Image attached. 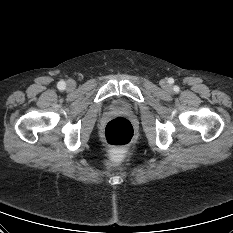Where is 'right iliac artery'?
I'll use <instances>...</instances> for the list:
<instances>
[{
	"instance_id": "right-iliac-artery-1",
	"label": "right iliac artery",
	"mask_w": 233,
	"mask_h": 233,
	"mask_svg": "<svg viewBox=\"0 0 233 233\" xmlns=\"http://www.w3.org/2000/svg\"><path fill=\"white\" fill-rule=\"evenodd\" d=\"M57 86L60 90H63L66 87V83L64 81H60Z\"/></svg>"
}]
</instances>
